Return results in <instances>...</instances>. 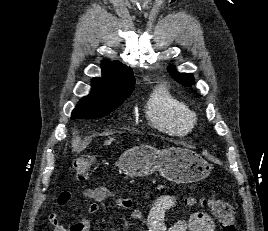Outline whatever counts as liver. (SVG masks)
<instances>
[{"label":"liver","mask_w":268,"mask_h":231,"mask_svg":"<svg viewBox=\"0 0 268 231\" xmlns=\"http://www.w3.org/2000/svg\"><path fill=\"white\" fill-rule=\"evenodd\" d=\"M111 141H107L106 144H109Z\"/></svg>","instance_id":"liver-1"}]
</instances>
